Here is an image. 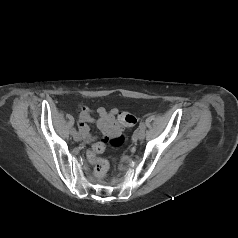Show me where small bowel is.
Here are the masks:
<instances>
[{
    "mask_svg": "<svg viewBox=\"0 0 238 238\" xmlns=\"http://www.w3.org/2000/svg\"><path fill=\"white\" fill-rule=\"evenodd\" d=\"M98 119L96 120V125L104 135V137L108 140H114L120 138L123 127L126 125H122L118 122L117 117L120 114L118 109L113 108L111 110H107L103 107L97 109ZM122 113V112H121ZM126 113V112H125ZM128 114V113H127ZM95 122L94 117L92 116V111L86 106H80L79 108V129L84 140L93 147L96 145L103 143L98 141L96 137L90 135V129L88 124Z\"/></svg>",
    "mask_w": 238,
    "mask_h": 238,
    "instance_id": "obj_1",
    "label": "small bowel"
}]
</instances>
